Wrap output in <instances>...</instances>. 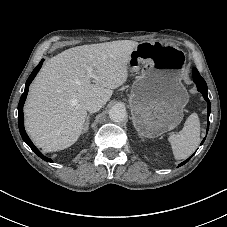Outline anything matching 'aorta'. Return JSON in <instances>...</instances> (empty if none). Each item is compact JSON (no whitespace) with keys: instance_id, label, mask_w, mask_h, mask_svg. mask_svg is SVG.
<instances>
[{"instance_id":"aorta-1","label":"aorta","mask_w":227,"mask_h":227,"mask_svg":"<svg viewBox=\"0 0 227 227\" xmlns=\"http://www.w3.org/2000/svg\"><path fill=\"white\" fill-rule=\"evenodd\" d=\"M126 116V109L123 106L115 105L109 111V117L113 122H122Z\"/></svg>"}]
</instances>
